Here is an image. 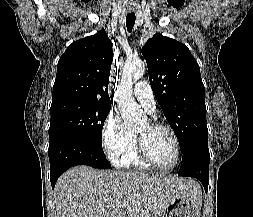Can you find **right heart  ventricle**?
Here are the masks:
<instances>
[{"label": "right heart ventricle", "mask_w": 253, "mask_h": 217, "mask_svg": "<svg viewBox=\"0 0 253 217\" xmlns=\"http://www.w3.org/2000/svg\"><path fill=\"white\" fill-rule=\"evenodd\" d=\"M117 165L126 168H133L139 171H146L149 169L141 159L139 158L137 148H136V137L130 143L129 147L124 151V153L119 157Z\"/></svg>", "instance_id": "e07e8e85"}]
</instances>
